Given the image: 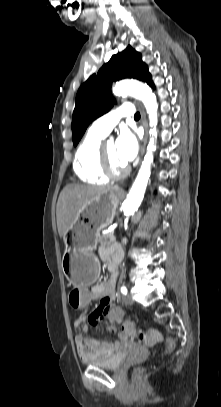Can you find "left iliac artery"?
I'll return each mask as SVG.
<instances>
[{
  "mask_svg": "<svg viewBox=\"0 0 221 407\" xmlns=\"http://www.w3.org/2000/svg\"><path fill=\"white\" fill-rule=\"evenodd\" d=\"M120 291H121V293H122L123 295H126V294L128 293V290H127V288H126L125 286H122L121 289H120Z\"/></svg>",
  "mask_w": 221,
  "mask_h": 407,
  "instance_id": "1",
  "label": "left iliac artery"
}]
</instances>
